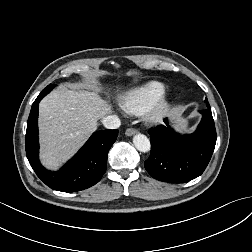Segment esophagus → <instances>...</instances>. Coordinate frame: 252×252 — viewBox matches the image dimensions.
Masks as SVG:
<instances>
[{
	"instance_id": "34e87169",
	"label": "esophagus",
	"mask_w": 252,
	"mask_h": 252,
	"mask_svg": "<svg viewBox=\"0 0 252 252\" xmlns=\"http://www.w3.org/2000/svg\"><path fill=\"white\" fill-rule=\"evenodd\" d=\"M138 133V130L137 129H134V128H128L126 131H125V134L127 136H132L134 134Z\"/></svg>"
}]
</instances>
